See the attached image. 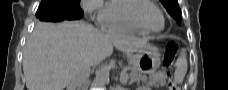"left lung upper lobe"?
I'll list each match as a JSON object with an SVG mask.
<instances>
[{"mask_svg": "<svg viewBox=\"0 0 228 90\" xmlns=\"http://www.w3.org/2000/svg\"><path fill=\"white\" fill-rule=\"evenodd\" d=\"M162 4L168 9L171 15L177 20H180L181 11L177 0H160Z\"/></svg>", "mask_w": 228, "mask_h": 90, "instance_id": "obj_1", "label": "left lung upper lobe"}]
</instances>
